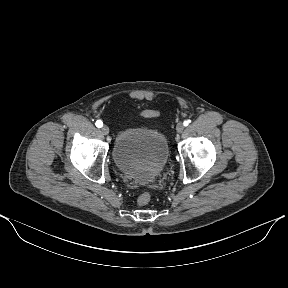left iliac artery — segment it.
<instances>
[{
  "mask_svg": "<svg viewBox=\"0 0 288 288\" xmlns=\"http://www.w3.org/2000/svg\"><path fill=\"white\" fill-rule=\"evenodd\" d=\"M183 125H184V126H188V125H189V120H185V121L183 122Z\"/></svg>",
  "mask_w": 288,
  "mask_h": 288,
  "instance_id": "left-iliac-artery-1",
  "label": "left iliac artery"
}]
</instances>
